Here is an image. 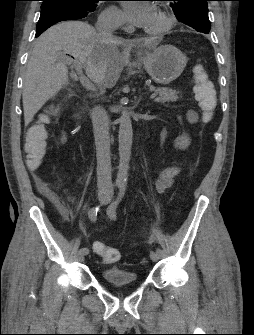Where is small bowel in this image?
Wrapping results in <instances>:
<instances>
[{
  "instance_id": "small-bowel-1",
  "label": "small bowel",
  "mask_w": 254,
  "mask_h": 335,
  "mask_svg": "<svg viewBox=\"0 0 254 335\" xmlns=\"http://www.w3.org/2000/svg\"><path fill=\"white\" fill-rule=\"evenodd\" d=\"M177 173H178V168L176 167L162 170L156 181V189L158 190V192H163L166 189L170 188L173 184L174 177L177 175ZM103 246H104L103 243L95 242L94 250L96 251V253H98L97 248L103 247Z\"/></svg>"
}]
</instances>
